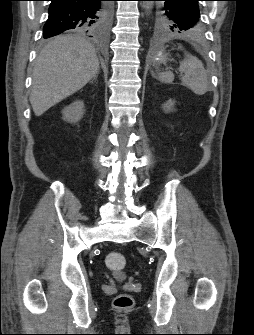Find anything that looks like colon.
I'll return each mask as SVG.
<instances>
[{
  "label": "colon",
  "mask_w": 254,
  "mask_h": 335,
  "mask_svg": "<svg viewBox=\"0 0 254 335\" xmlns=\"http://www.w3.org/2000/svg\"><path fill=\"white\" fill-rule=\"evenodd\" d=\"M106 266L114 273H120L126 266V257L119 252H111L105 258ZM134 300L131 295L122 293L115 297L113 305L118 309H129Z\"/></svg>",
  "instance_id": "1"
}]
</instances>
